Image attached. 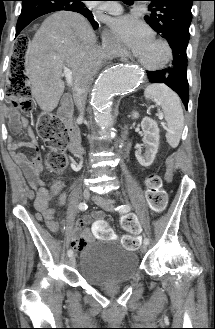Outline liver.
<instances>
[{"label": "liver", "mask_w": 215, "mask_h": 329, "mask_svg": "<svg viewBox=\"0 0 215 329\" xmlns=\"http://www.w3.org/2000/svg\"><path fill=\"white\" fill-rule=\"evenodd\" d=\"M97 47L90 23L78 13L60 11L43 21L25 62L32 95L44 112L53 111L64 92V67L71 70L74 85L85 57Z\"/></svg>", "instance_id": "6515ba94"}]
</instances>
